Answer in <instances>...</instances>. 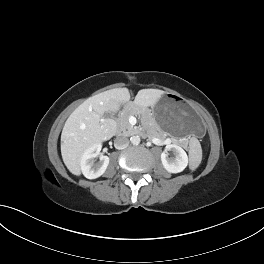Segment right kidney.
I'll list each match as a JSON object with an SVG mask.
<instances>
[{"mask_svg": "<svg viewBox=\"0 0 264 264\" xmlns=\"http://www.w3.org/2000/svg\"><path fill=\"white\" fill-rule=\"evenodd\" d=\"M101 150V145L97 144L86 149L81 157L80 167L83 175L87 179H96L104 174L109 164V157L100 155L99 161L95 162Z\"/></svg>", "mask_w": 264, "mask_h": 264, "instance_id": "1", "label": "right kidney"}]
</instances>
